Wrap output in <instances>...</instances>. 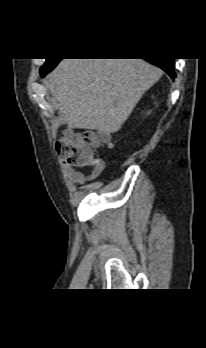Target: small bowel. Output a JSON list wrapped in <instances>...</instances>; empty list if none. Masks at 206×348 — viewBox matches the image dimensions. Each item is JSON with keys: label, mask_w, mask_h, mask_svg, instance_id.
I'll use <instances>...</instances> for the list:
<instances>
[{"label": "small bowel", "mask_w": 206, "mask_h": 348, "mask_svg": "<svg viewBox=\"0 0 206 348\" xmlns=\"http://www.w3.org/2000/svg\"><path fill=\"white\" fill-rule=\"evenodd\" d=\"M64 170L67 172L69 179L78 185H83L97 179L105 170V163L102 160H95L93 163L83 166V169H75L67 163L63 164Z\"/></svg>", "instance_id": "1"}]
</instances>
